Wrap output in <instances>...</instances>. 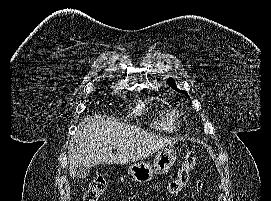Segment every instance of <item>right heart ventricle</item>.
I'll use <instances>...</instances> for the list:
<instances>
[{
  "label": "right heart ventricle",
  "instance_id": "e07e8e85",
  "mask_svg": "<svg viewBox=\"0 0 271 201\" xmlns=\"http://www.w3.org/2000/svg\"><path fill=\"white\" fill-rule=\"evenodd\" d=\"M178 117L174 110L161 112L156 118L155 126L163 131H174L178 126Z\"/></svg>",
  "mask_w": 271,
  "mask_h": 201
}]
</instances>
